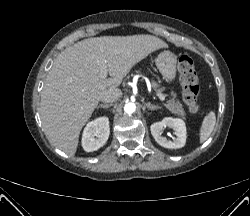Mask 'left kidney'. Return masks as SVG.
Returning <instances> with one entry per match:
<instances>
[{
	"label": "left kidney",
	"mask_w": 250,
	"mask_h": 216,
	"mask_svg": "<svg viewBox=\"0 0 250 216\" xmlns=\"http://www.w3.org/2000/svg\"><path fill=\"white\" fill-rule=\"evenodd\" d=\"M166 127L174 131L176 138L173 141H169L162 136V130ZM150 129L155 141L164 148L177 149L185 146L186 126L182 119L166 117L162 121L153 123Z\"/></svg>",
	"instance_id": "5707ae66"
}]
</instances>
